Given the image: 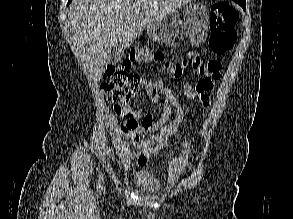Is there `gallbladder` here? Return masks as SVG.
<instances>
[{
  "instance_id": "obj_1",
  "label": "gallbladder",
  "mask_w": 293,
  "mask_h": 219,
  "mask_svg": "<svg viewBox=\"0 0 293 219\" xmlns=\"http://www.w3.org/2000/svg\"><path fill=\"white\" fill-rule=\"evenodd\" d=\"M123 49L121 44H117L107 52V61L109 65H116L123 56Z\"/></svg>"
}]
</instances>
